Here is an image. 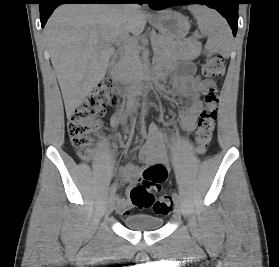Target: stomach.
Segmentation results:
<instances>
[{
  "label": "stomach",
  "instance_id": "0dacf381",
  "mask_svg": "<svg viewBox=\"0 0 279 267\" xmlns=\"http://www.w3.org/2000/svg\"><path fill=\"white\" fill-rule=\"evenodd\" d=\"M150 23L165 37L176 40L183 39L190 29L188 18L171 10L159 12Z\"/></svg>",
  "mask_w": 279,
  "mask_h": 267
}]
</instances>
